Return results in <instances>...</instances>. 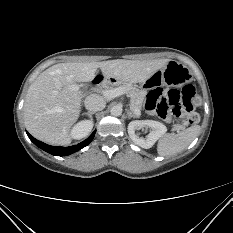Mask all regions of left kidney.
<instances>
[{
  "label": "left kidney",
  "mask_w": 233,
  "mask_h": 233,
  "mask_svg": "<svg viewBox=\"0 0 233 233\" xmlns=\"http://www.w3.org/2000/svg\"><path fill=\"white\" fill-rule=\"evenodd\" d=\"M141 128H149L150 133L146 139L140 138L136 131ZM167 131L164 124L154 120H135L131 121L128 125V134L132 141L145 149L151 148L155 142L163 136Z\"/></svg>",
  "instance_id": "obj_1"
}]
</instances>
